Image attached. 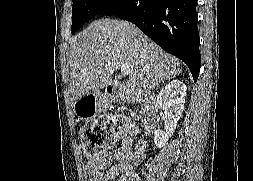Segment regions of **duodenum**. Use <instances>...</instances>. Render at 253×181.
<instances>
[{
	"label": "duodenum",
	"instance_id": "duodenum-1",
	"mask_svg": "<svg viewBox=\"0 0 253 181\" xmlns=\"http://www.w3.org/2000/svg\"><path fill=\"white\" fill-rule=\"evenodd\" d=\"M107 93L112 101H121L125 98V91L118 88L108 87ZM140 103L143 105L142 122L144 129L151 132L154 130L157 121L154 112L155 100L149 95H144L143 98L140 99Z\"/></svg>",
	"mask_w": 253,
	"mask_h": 181
}]
</instances>
